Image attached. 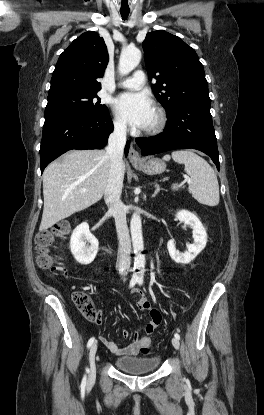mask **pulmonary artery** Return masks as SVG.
Instances as JSON below:
<instances>
[{
  "label": "pulmonary artery",
  "instance_id": "obj_1",
  "mask_svg": "<svg viewBox=\"0 0 264 415\" xmlns=\"http://www.w3.org/2000/svg\"><path fill=\"white\" fill-rule=\"evenodd\" d=\"M145 84V74L143 71H136L133 75L119 83V86L122 88H127L131 90H137L144 86Z\"/></svg>",
  "mask_w": 264,
  "mask_h": 415
}]
</instances>
